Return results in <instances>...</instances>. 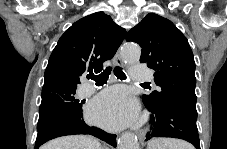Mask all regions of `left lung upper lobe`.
Here are the masks:
<instances>
[{
	"mask_svg": "<svg viewBox=\"0 0 227 149\" xmlns=\"http://www.w3.org/2000/svg\"><path fill=\"white\" fill-rule=\"evenodd\" d=\"M142 48L140 62L154 69L159 91L144 94L143 100L163 105L172 101L196 108L195 61L186 37L168 19L149 13L126 36Z\"/></svg>",
	"mask_w": 227,
	"mask_h": 149,
	"instance_id": "obj_1",
	"label": "left lung upper lobe"
}]
</instances>
